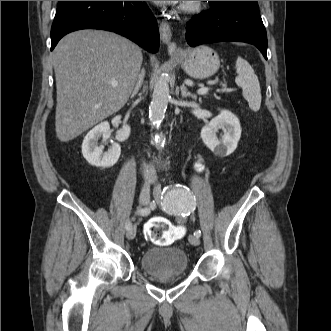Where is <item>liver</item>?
Here are the masks:
<instances>
[{"label":"liver","mask_w":331,"mask_h":331,"mask_svg":"<svg viewBox=\"0 0 331 331\" xmlns=\"http://www.w3.org/2000/svg\"><path fill=\"white\" fill-rule=\"evenodd\" d=\"M52 57L57 89L55 131L61 142L118 112L129 99L143 60L139 46L102 30L66 35Z\"/></svg>","instance_id":"obj_1"}]
</instances>
